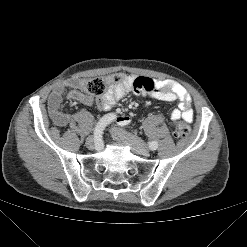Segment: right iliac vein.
<instances>
[{
  "mask_svg": "<svg viewBox=\"0 0 247 247\" xmlns=\"http://www.w3.org/2000/svg\"><path fill=\"white\" fill-rule=\"evenodd\" d=\"M86 146L89 149H93L95 147L94 139L92 137H88L86 140Z\"/></svg>",
  "mask_w": 247,
  "mask_h": 247,
  "instance_id": "right-iliac-vein-1",
  "label": "right iliac vein"
}]
</instances>
